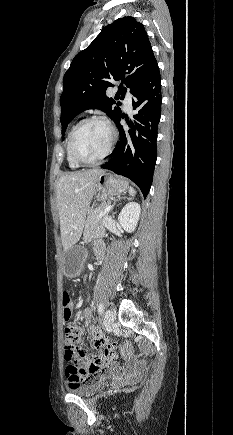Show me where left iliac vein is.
Listing matches in <instances>:
<instances>
[{"label": "left iliac vein", "mask_w": 233, "mask_h": 435, "mask_svg": "<svg viewBox=\"0 0 233 435\" xmlns=\"http://www.w3.org/2000/svg\"><path fill=\"white\" fill-rule=\"evenodd\" d=\"M115 321V314L111 309H108L104 315V323L106 327L110 328Z\"/></svg>", "instance_id": "left-iliac-vein-1"}]
</instances>
